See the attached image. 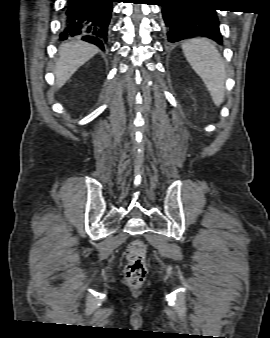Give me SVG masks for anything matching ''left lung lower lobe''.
<instances>
[{"label":"left lung lower lobe","instance_id":"left-lung-lower-lobe-1","mask_svg":"<svg viewBox=\"0 0 270 338\" xmlns=\"http://www.w3.org/2000/svg\"><path fill=\"white\" fill-rule=\"evenodd\" d=\"M207 0H160L164 34L175 43L192 37H207L218 44L223 39L216 10Z\"/></svg>","mask_w":270,"mask_h":338}]
</instances>
